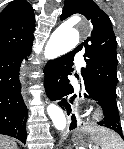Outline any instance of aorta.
Segmentation results:
<instances>
[{
  "label": "aorta",
  "mask_w": 124,
  "mask_h": 149,
  "mask_svg": "<svg viewBox=\"0 0 124 149\" xmlns=\"http://www.w3.org/2000/svg\"><path fill=\"white\" fill-rule=\"evenodd\" d=\"M80 22L79 16H73L59 25L47 43V53L63 54L72 50L79 43V32L75 26ZM47 112L54 127L59 131L64 130L67 122L62 109L51 104L47 107Z\"/></svg>",
  "instance_id": "762f6f07"
}]
</instances>
